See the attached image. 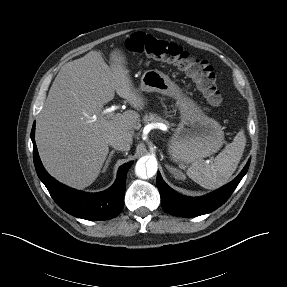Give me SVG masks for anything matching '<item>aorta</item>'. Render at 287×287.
I'll return each instance as SVG.
<instances>
[{
	"label": "aorta",
	"mask_w": 287,
	"mask_h": 287,
	"mask_svg": "<svg viewBox=\"0 0 287 287\" xmlns=\"http://www.w3.org/2000/svg\"><path fill=\"white\" fill-rule=\"evenodd\" d=\"M157 160L154 157L141 158L135 166V173L140 178L152 177L157 172Z\"/></svg>",
	"instance_id": "1"
}]
</instances>
